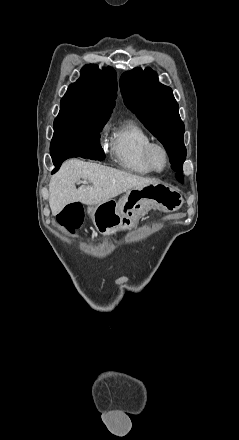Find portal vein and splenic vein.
I'll return each mask as SVG.
<instances>
[{
  "mask_svg": "<svg viewBox=\"0 0 239 440\" xmlns=\"http://www.w3.org/2000/svg\"><path fill=\"white\" fill-rule=\"evenodd\" d=\"M78 184H87V182H78Z\"/></svg>",
  "mask_w": 239,
  "mask_h": 440,
  "instance_id": "obj_1",
  "label": "portal vein and splenic vein"
}]
</instances>
